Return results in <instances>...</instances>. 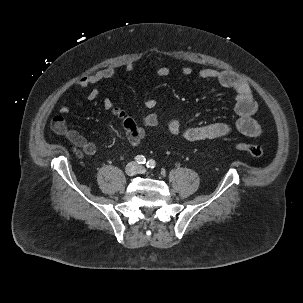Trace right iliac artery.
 I'll return each mask as SVG.
<instances>
[{
	"mask_svg": "<svg viewBox=\"0 0 303 303\" xmlns=\"http://www.w3.org/2000/svg\"><path fill=\"white\" fill-rule=\"evenodd\" d=\"M135 161L138 163V164H145L146 163V158L143 156V155H137L135 157Z\"/></svg>",
	"mask_w": 303,
	"mask_h": 303,
	"instance_id": "82829eb1",
	"label": "right iliac artery"
}]
</instances>
